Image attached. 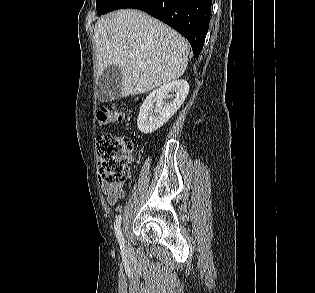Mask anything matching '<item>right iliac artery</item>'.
Here are the masks:
<instances>
[{"mask_svg": "<svg viewBox=\"0 0 315 293\" xmlns=\"http://www.w3.org/2000/svg\"><path fill=\"white\" fill-rule=\"evenodd\" d=\"M120 225H121V215H119L116 218V221H115V224H114V229H115V234H116V237H117V240H118L120 246L124 247L125 240H124V237L122 235Z\"/></svg>", "mask_w": 315, "mask_h": 293, "instance_id": "82829eb1", "label": "right iliac artery"}]
</instances>
